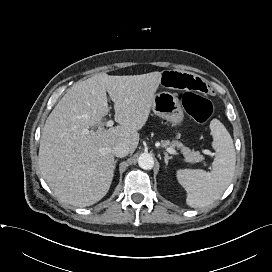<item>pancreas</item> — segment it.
<instances>
[{"label":"pancreas","mask_w":272,"mask_h":272,"mask_svg":"<svg viewBox=\"0 0 272 272\" xmlns=\"http://www.w3.org/2000/svg\"><path fill=\"white\" fill-rule=\"evenodd\" d=\"M162 145L164 147L170 146V147H176L180 149L186 162L197 163V162H202L204 160V157L201 155L199 151L190 150L188 147H185L179 141H173V142L165 141L163 142Z\"/></svg>","instance_id":"obj_1"}]
</instances>
